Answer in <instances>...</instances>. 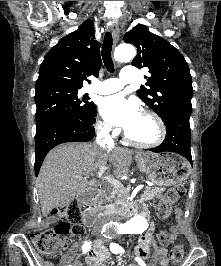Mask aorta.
I'll list each match as a JSON object with an SVG mask.
<instances>
[{"label":"aorta","instance_id":"1","mask_svg":"<svg viewBox=\"0 0 221 266\" xmlns=\"http://www.w3.org/2000/svg\"><path fill=\"white\" fill-rule=\"evenodd\" d=\"M136 55L135 48L130 44H121L115 49L114 58L118 62L131 61ZM147 228V222L142 216H134L120 225L119 232L124 234H141Z\"/></svg>","mask_w":221,"mask_h":266}]
</instances>
